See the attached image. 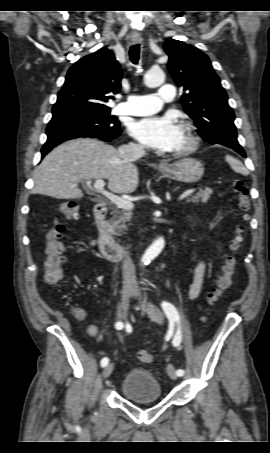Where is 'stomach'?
<instances>
[{"label": "stomach", "instance_id": "stomach-1", "mask_svg": "<svg viewBox=\"0 0 270 453\" xmlns=\"http://www.w3.org/2000/svg\"><path fill=\"white\" fill-rule=\"evenodd\" d=\"M159 171L167 178L184 183H195L203 177L204 167L196 159L183 158L172 164L160 167Z\"/></svg>", "mask_w": 270, "mask_h": 453}]
</instances>
